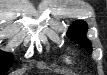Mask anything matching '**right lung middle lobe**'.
I'll return each mask as SVG.
<instances>
[{"label":"right lung middle lobe","instance_id":"1","mask_svg":"<svg viewBox=\"0 0 107 75\" xmlns=\"http://www.w3.org/2000/svg\"><path fill=\"white\" fill-rule=\"evenodd\" d=\"M12 63V54L0 51V74L7 72Z\"/></svg>","mask_w":107,"mask_h":75}]
</instances>
